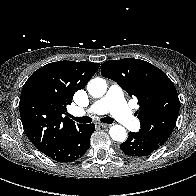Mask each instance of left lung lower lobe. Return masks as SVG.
I'll list each match as a JSON object with an SVG mask.
<instances>
[{
	"label": "left lung lower lobe",
	"mask_w": 196,
	"mask_h": 196,
	"mask_svg": "<svg viewBox=\"0 0 196 196\" xmlns=\"http://www.w3.org/2000/svg\"><path fill=\"white\" fill-rule=\"evenodd\" d=\"M127 140L120 145L122 152L125 155L133 157H142L156 151L160 145L145 139L139 133H128Z\"/></svg>",
	"instance_id": "obj_1"
}]
</instances>
